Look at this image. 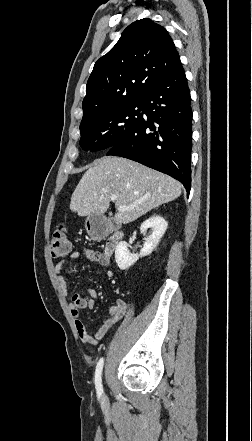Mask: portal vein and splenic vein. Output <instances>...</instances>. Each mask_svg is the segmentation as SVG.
<instances>
[{
	"instance_id": "1",
	"label": "portal vein and splenic vein",
	"mask_w": 252,
	"mask_h": 441,
	"mask_svg": "<svg viewBox=\"0 0 252 441\" xmlns=\"http://www.w3.org/2000/svg\"><path fill=\"white\" fill-rule=\"evenodd\" d=\"M116 200V196L115 195H112L111 196V201H115ZM127 209V207H125V206H120L119 208H118V210L119 211H125Z\"/></svg>"
}]
</instances>
